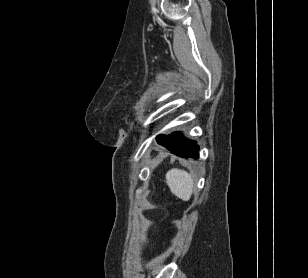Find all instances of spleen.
Returning <instances> with one entry per match:
<instances>
[{
  "label": "spleen",
  "mask_w": 308,
  "mask_h": 278,
  "mask_svg": "<svg viewBox=\"0 0 308 278\" xmlns=\"http://www.w3.org/2000/svg\"><path fill=\"white\" fill-rule=\"evenodd\" d=\"M166 181L175 196L183 201L190 200L194 189L191 174L185 170L173 168L166 173Z\"/></svg>",
  "instance_id": "spleen-1"
}]
</instances>
